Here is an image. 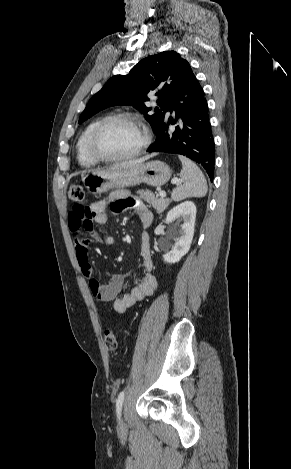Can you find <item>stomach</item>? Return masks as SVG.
Masks as SVG:
<instances>
[{"mask_svg": "<svg viewBox=\"0 0 291 469\" xmlns=\"http://www.w3.org/2000/svg\"><path fill=\"white\" fill-rule=\"evenodd\" d=\"M171 177L170 167L159 160L115 170L92 171L82 176L86 189L92 194H101L113 188H125L146 183L162 186Z\"/></svg>", "mask_w": 291, "mask_h": 469, "instance_id": "obj_1", "label": "stomach"}]
</instances>
